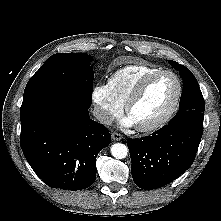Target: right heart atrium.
<instances>
[{"mask_svg": "<svg viewBox=\"0 0 221 221\" xmlns=\"http://www.w3.org/2000/svg\"><path fill=\"white\" fill-rule=\"evenodd\" d=\"M91 98L95 116L102 124H109L122 111V105L113 97L107 84H96Z\"/></svg>", "mask_w": 221, "mask_h": 221, "instance_id": "1", "label": "right heart atrium"}]
</instances>
